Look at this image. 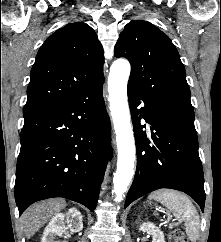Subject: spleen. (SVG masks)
<instances>
[{"instance_id": "3e777b00", "label": "spleen", "mask_w": 221, "mask_h": 242, "mask_svg": "<svg viewBox=\"0 0 221 242\" xmlns=\"http://www.w3.org/2000/svg\"><path fill=\"white\" fill-rule=\"evenodd\" d=\"M163 203L173 215L185 223V231L192 242L199 237V215L191 200L175 190L163 189L151 193L148 197Z\"/></svg>"}]
</instances>
